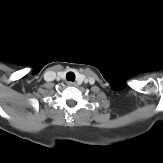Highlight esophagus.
Listing matches in <instances>:
<instances>
[{"label":"esophagus","mask_w":163,"mask_h":163,"mask_svg":"<svg viewBox=\"0 0 163 163\" xmlns=\"http://www.w3.org/2000/svg\"><path fill=\"white\" fill-rule=\"evenodd\" d=\"M67 85L68 86H76L77 84L75 83V82H72V81H69V82H67Z\"/></svg>","instance_id":"1"}]
</instances>
